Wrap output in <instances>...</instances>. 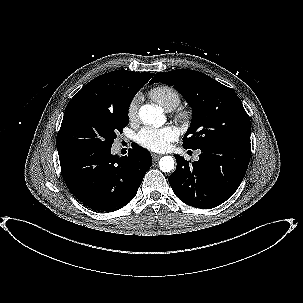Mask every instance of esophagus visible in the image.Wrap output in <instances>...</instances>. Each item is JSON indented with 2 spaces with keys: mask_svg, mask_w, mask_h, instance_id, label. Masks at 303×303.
<instances>
[{
  "mask_svg": "<svg viewBox=\"0 0 303 303\" xmlns=\"http://www.w3.org/2000/svg\"><path fill=\"white\" fill-rule=\"evenodd\" d=\"M162 155H160V154H152V157H153V160L154 161H156V160H158L160 157H161Z\"/></svg>",
  "mask_w": 303,
  "mask_h": 303,
  "instance_id": "obj_1",
  "label": "esophagus"
}]
</instances>
